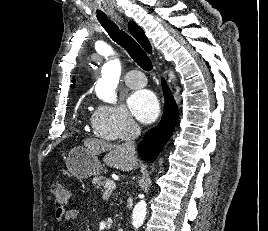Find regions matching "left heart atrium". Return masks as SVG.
<instances>
[{"instance_id":"left-heart-atrium-1","label":"left heart atrium","mask_w":268,"mask_h":231,"mask_svg":"<svg viewBox=\"0 0 268 231\" xmlns=\"http://www.w3.org/2000/svg\"><path fill=\"white\" fill-rule=\"evenodd\" d=\"M127 106L136 119L146 124L154 122L160 113L158 99L149 90L133 92L127 99Z\"/></svg>"}]
</instances>
